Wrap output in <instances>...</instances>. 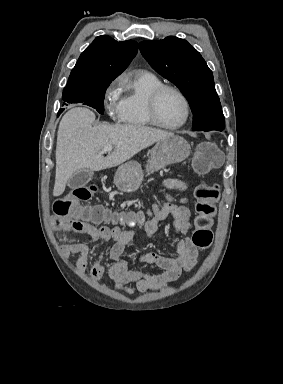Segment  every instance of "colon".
I'll return each instance as SVG.
<instances>
[{"mask_svg":"<svg viewBox=\"0 0 283 384\" xmlns=\"http://www.w3.org/2000/svg\"><path fill=\"white\" fill-rule=\"evenodd\" d=\"M222 159V154L213 142H203L196 149L195 168L200 173H206L217 168L222 163ZM95 190L94 186H90L70 191L64 198L54 203V213L73 221L90 220L94 223L108 221L110 216L104 209L86 208L81 205L91 198ZM220 190L217 183L201 184L195 189L196 228L192 234V242L197 248L206 249L212 243V225L217 212ZM119 220L126 224H134L140 220V217L128 214L123 215Z\"/></svg>","mask_w":283,"mask_h":384,"instance_id":"obj_1","label":"colon"}]
</instances>
